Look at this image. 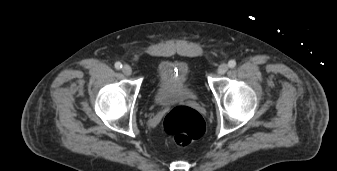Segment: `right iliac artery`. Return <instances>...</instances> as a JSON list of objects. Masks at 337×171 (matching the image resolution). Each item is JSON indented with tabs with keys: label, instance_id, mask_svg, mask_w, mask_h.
<instances>
[{
	"label": "right iliac artery",
	"instance_id": "obj_1",
	"mask_svg": "<svg viewBox=\"0 0 337 171\" xmlns=\"http://www.w3.org/2000/svg\"><path fill=\"white\" fill-rule=\"evenodd\" d=\"M115 68L118 69V70L121 69L122 68V64L120 62H116L115 63Z\"/></svg>",
	"mask_w": 337,
	"mask_h": 171
}]
</instances>
